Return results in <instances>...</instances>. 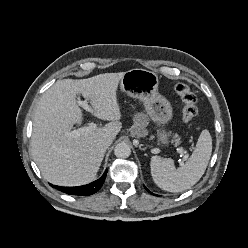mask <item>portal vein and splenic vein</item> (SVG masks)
Instances as JSON below:
<instances>
[{"label":"portal vein and splenic vein","instance_id":"obj_1","mask_svg":"<svg viewBox=\"0 0 248 248\" xmlns=\"http://www.w3.org/2000/svg\"><path fill=\"white\" fill-rule=\"evenodd\" d=\"M78 104L82 108H84L86 111L92 112L91 107L87 104L86 101H78ZM96 128H97L96 124L91 122L88 126L73 130V131L69 132L67 135L72 137V138H78L81 135L90 133L91 131L95 130ZM177 152L180 154H183L184 150L182 147H179V148H177Z\"/></svg>","mask_w":248,"mask_h":248}]
</instances>
